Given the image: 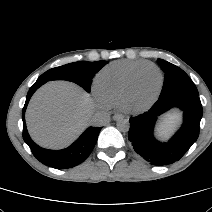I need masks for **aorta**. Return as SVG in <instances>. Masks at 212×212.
I'll list each match as a JSON object with an SVG mask.
<instances>
[{
    "label": "aorta",
    "instance_id": "762f6f07",
    "mask_svg": "<svg viewBox=\"0 0 212 212\" xmlns=\"http://www.w3.org/2000/svg\"><path fill=\"white\" fill-rule=\"evenodd\" d=\"M117 128L121 132H127L130 128L129 120L121 119L117 122Z\"/></svg>",
    "mask_w": 212,
    "mask_h": 212
}]
</instances>
